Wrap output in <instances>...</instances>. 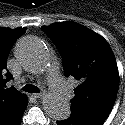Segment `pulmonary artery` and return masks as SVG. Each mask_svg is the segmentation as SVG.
Segmentation results:
<instances>
[{
	"label": "pulmonary artery",
	"mask_w": 125,
	"mask_h": 125,
	"mask_svg": "<svg viewBox=\"0 0 125 125\" xmlns=\"http://www.w3.org/2000/svg\"><path fill=\"white\" fill-rule=\"evenodd\" d=\"M48 82L52 90L57 94L63 97H69L71 95L70 86L60 76L55 65L52 67V70L48 75Z\"/></svg>",
	"instance_id": "e3ab8cb5"
}]
</instances>
